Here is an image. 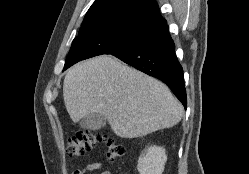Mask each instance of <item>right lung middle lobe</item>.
I'll use <instances>...</instances> for the list:
<instances>
[{"mask_svg":"<svg viewBox=\"0 0 249 174\" xmlns=\"http://www.w3.org/2000/svg\"><path fill=\"white\" fill-rule=\"evenodd\" d=\"M148 27L137 23H119L79 31L72 42L63 71L81 60L118 53L132 47L144 38Z\"/></svg>","mask_w":249,"mask_h":174,"instance_id":"right-lung-middle-lobe-1","label":"right lung middle lobe"}]
</instances>
